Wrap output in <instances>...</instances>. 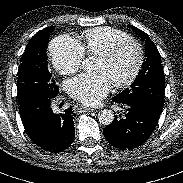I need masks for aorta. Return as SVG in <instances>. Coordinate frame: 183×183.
<instances>
[{
	"mask_svg": "<svg viewBox=\"0 0 183 183\" xmlns=\"http://www.w3.org/2000/svg\"><path fill=\"white\" fill-rule=\"evenodd\" d=\"M91 67V64L89 62V60H84L83 62V68L84 70H88ZM98 119L99 122L103 125H110L113 120H114V114L111 110H102L99 114H98Z\"/></svg>",
	"mask_w": 183,
	"mask_h": 183,
	"instance_id": "762f6f07",
	"label": "aorta"
}]
</instances>
